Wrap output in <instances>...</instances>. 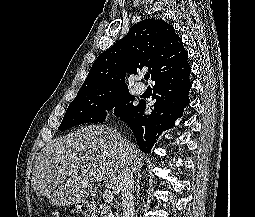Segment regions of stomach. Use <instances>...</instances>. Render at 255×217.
Wrapping results in <instances>:
<instances>
[{
	"label": "stomach",
	"instance_id": "stomach-1",
	"mask_svg": "<svg viewBox=\"0 0 255 217\" xmlns=\"http://www.w3.org/2000/svg\"><path fill=\"white\" fill-rule=\"evenodd\" d=\"M76 209H77L78 211H82L80 204H77V205H76Z\"/></svg>",
	"mask_w": 255,
	"mask_h": 217
}]
</instances>
